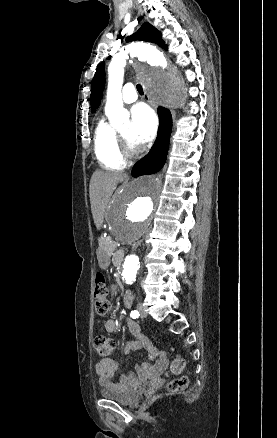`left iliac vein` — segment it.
Segmentation results:
<instances>
[{"instance_id": "obj_1", "label": "left iliac vein", "mask_w": 277, "mask_h": 438, "mask_svg": "<svg viewBox=\"0 0 277 438\" xmlns=\"http://www.w3.org/2000/svg\"><path fill=\"white\" fill-rule=\"evenodd\" d=\"M137 309H138L139 314H140V316H141L142 318H144V317L147 316V313L145 312L144 307H143V305H142L141 303H139V304L137 305Z\"/></svg>"}]
</instances>
